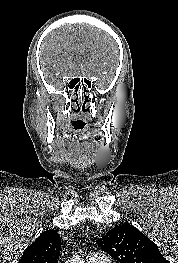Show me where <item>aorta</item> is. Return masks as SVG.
I'll use <instances>...</instances> for the list:
<instances>
[{
  "label": "aorta",
  "mask_w": 178,
  "mask_h": 263,
  "mask_svg": "<svg viewBox=\"0 0 178 263\" xmlns=\"http://www.w3.org/2000/svg\"><path fill=\"white\" fill-rule=\"evenodd\" d=\"M71 263H84V261L77 257V258L72 259Z\"/></svg>",
  "instance_id": "762f6f07"
}]
</instances>
